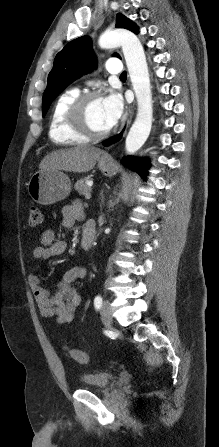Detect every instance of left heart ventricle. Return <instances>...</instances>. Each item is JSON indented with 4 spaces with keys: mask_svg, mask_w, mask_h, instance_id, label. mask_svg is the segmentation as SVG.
I'll return each instance as SVG.
<instances>
[{
    "mask_svg": "<svg viewBox=\"0 0 219 447\" xmlns=\"http://www.w3.org/2000/svg\"><path fill=\"white\" fill-rule=\"evenodd\" d=\"M88 120L91 126L96 130H106L110 128L106 121L102 99L91 103L88 109Z\"/></svg>",
    "mask_w": 219,
    "mask_h": 447,
    "instance_id": "left-heart-ventricle-1",
    "label": "left heart ventricle"
}]
</instances>
